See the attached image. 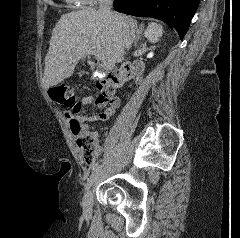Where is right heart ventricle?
<instances>
[{
  "instance_id": "obj_1",
  "label": "right heart ventricle",
  "mask_w": 240,
  "mask_h": 238,
  "mask_svg": "<svg viewBox=\"0 0 240 238\" xmlns=\"http://www.w3.org/2000/svg\"><path fill=\"white\" fill-rule=\"evenodd\" d=\"M66 1H68L70 3H74V2H77L78 0H66Z\"/></svg>"
}]
</instances>
